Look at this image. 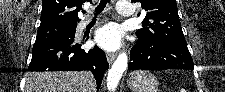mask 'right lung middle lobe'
Returning a JSON list of instances; mask_svg holds the SVG:
<instances>
[{
    "mask_svg": "<svg viewBox=\"0 0 225 92\" xmlns=\"http://www.w3.org/2000/svg\"><path fill=\"white\" fill-rule=\"evenodd\" d=\"M76 25L49 24L40 26L37 31L34 47L47 43L74 39Z\"/></svg>",
    "mask_w": 225,
    "mask_h": 92,
    "instance_id": "right-lung-middle-lobe-1",
    "label": "right lung middle lobe"
}]
</instances>
